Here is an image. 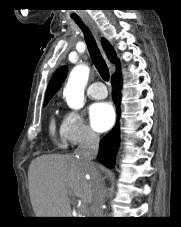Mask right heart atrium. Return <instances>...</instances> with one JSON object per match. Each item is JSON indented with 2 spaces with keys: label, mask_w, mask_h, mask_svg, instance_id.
Segmentation results:
<instances>
[{
  "label": "right heart atrium",
  "mask_w": 181,
  "mask_h": 227,
  "mask_svg": "<svg viewBox=\"0 0 181 227\" xmlns=\"http://www.w3.org/2000/svg\"><path fill=\"white\" fill-rule=\"evenodd\" d=\"M60 134L71 145L91 144L98 140L97 134L86 124L77 111H68L62 120Z\"/></svg>",
  "instance_id": "1"
}]
</instances>
